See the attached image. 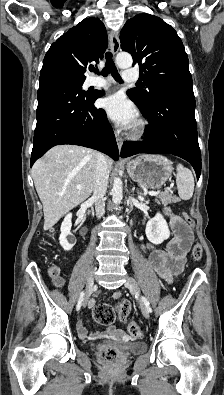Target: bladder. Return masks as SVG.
Segmentation results:
<instances>
[{
  "label": "bladder",
  "mask_w": 224,
  "mask_h": 395,
  "mask_svg": "<svg viewBox=\"0 0 224 395\" xmlns=\"http://www.w3.org/2000/svg\"><path fill=\"white\" fill-rule=\"evenodd\" d=\"M145 350H146V345L141 342H131L129 346L126 348V351L132 354L142 353Z\"/></svg>",
  "instance_id": "bladder-1"
}]
</instances>
